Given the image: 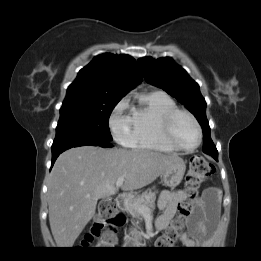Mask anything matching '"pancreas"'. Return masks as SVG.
<instances>
[{
  "label": "pancreas",
  "instance_id": "pancreas-1",
  "mask_svg": "<svg viewBox=\"0 0 261 261\" xmlns=\"http://www.w3.org/2000/svg\"><path fill=\"white\" fill-rule=\"evenodd\" d=\"M156 193V191L153 192L151 189H148L141 195L129 200V202L125 205V210L132 216L133 219H136V221H132L134 228L131 229L130 236L126 239L127 242L134 245L139 244L142 238L140 232L138 231V229H140L139 223L143 219L144 215L151 214L154 209Z\"/></svg>",
  "mask_w": 261,
  "mask_h": 261
}]
</instances>
